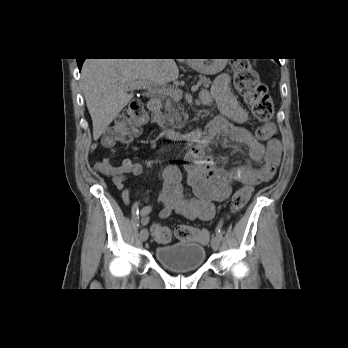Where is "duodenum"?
<instances>
[{
	"label": "duodenum",
	"mask_w": 348,
	"mask_h": 348,
	"mask_svg": "<svg viewBox=\"0 0 348 348\" xmlns=\"http://www.w3.org/2000/svg\"><path fill=\"white\" fill-rule=\"evenodd\" d=\"M148 108L152 114H154L157 121H160V111L162 108V102L159 98H151L148 103ZM164 135L171 138H178L185 142L193 143L195 146H201L211 135L210 128L206 130L194 129L188 133L178 134L172 130H164Z\"/></svg>",
	"instance_id": "duodenum-1"
}]
</instances>
